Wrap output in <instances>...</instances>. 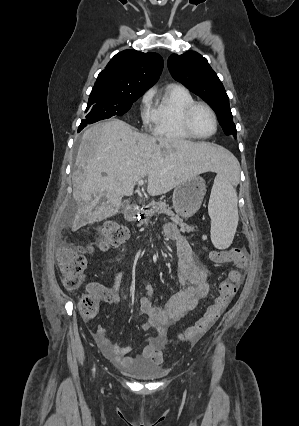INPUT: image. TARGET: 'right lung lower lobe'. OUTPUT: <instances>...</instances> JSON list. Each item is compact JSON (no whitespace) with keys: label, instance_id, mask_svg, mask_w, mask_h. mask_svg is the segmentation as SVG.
Masks as SVG:
<instances>
[{"label":"right lung lower lobe","instance_id":"1","mask_svg":"<svg viewBox=\"0 0 299 426\" xmlns=\"http://www.w3.org/2000/svg\"><path fill=\"white\" fill-rule=\"evenodd\" d=\"M83 128H84V127H80V126H79V130H78V131L82 130Z\"/></svg>","mask_w":299,"mask_h":426}]
</instances>
